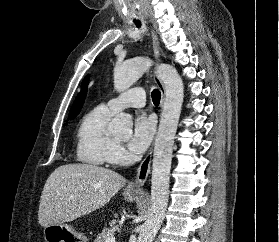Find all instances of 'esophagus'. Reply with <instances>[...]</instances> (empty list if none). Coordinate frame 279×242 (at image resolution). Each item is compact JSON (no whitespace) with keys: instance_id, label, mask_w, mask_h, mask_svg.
<instances>
[{"instance_id":"esophagus-1","label":"esophagus","mask_w":279,"mask_h":242,"mask_svg":"<svg viewBox=\"0 0 279 242\" xmlns=\"http://www.w3.org/2000/svg\"><path fill=\"white\" fill-rule=\"evenodd\" d=\"M152 41H153L155 58L157 60H159L160 59V46H159L158 37L154 31L152 32ZM155 81L161 92V106H162L164 99H165V87L157 73H155ZM152 151H153V148L151 147L147 156L141 162V164L139 165V167L137 169V174H136L135 180L127 186V191H131V192H141L142 191V187L145 184L147 177L149 175V172H150Z\"/></svg>"}]
</instances>
